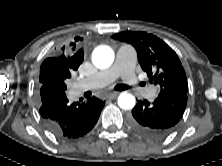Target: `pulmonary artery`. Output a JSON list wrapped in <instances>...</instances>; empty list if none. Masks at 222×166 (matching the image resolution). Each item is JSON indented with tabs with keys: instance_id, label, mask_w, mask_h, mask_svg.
<instances>
[{
	"instance_id": "pulmonary-artery-1",
	"label": "pulmonary artery",
	"mask_w": 222,
	"mask_h": 166,
	"mask_svg": "<svg viewBox=\"0 0 222 166\" xmlns=\"http://www.w3.org/2000/svg\"><path fill=\"white\" fill-rule=\"evenodd\" d=\"M136 63V53L128 46H122L117 51L116 59L112 67L97 73L94 77L87 79L90 87H104L113 83L116 79L121 78L126 84L134 88H140V83L135 75L134 66ZM85 90L80 83L75 88V94L79 95ZM147 99H153L155 96L154 87L143 89Z\"/></svg>"
}]
</instances>
